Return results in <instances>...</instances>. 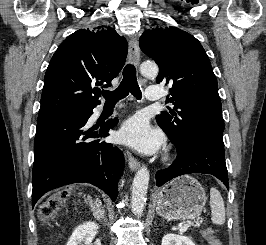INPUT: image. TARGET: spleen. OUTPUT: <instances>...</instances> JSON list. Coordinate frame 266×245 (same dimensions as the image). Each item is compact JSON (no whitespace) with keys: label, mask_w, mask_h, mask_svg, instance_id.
<instances>
[{"label":"spleen","mask_w":266,"mask_h":245,"mask_svg":"<svg viewBox=\"0 0 266 245\" xmlns=\"http://www.w3.org/2000/svg\"><path fill=\"white\" fill-rule=\"evenodd\" d=\"M210 207L211 221L214 225H224L225 223V207L224 201L218 189H210Z\"/></svg>","instance_id":"obj_1"}]
</instances>
